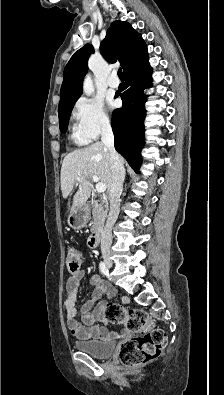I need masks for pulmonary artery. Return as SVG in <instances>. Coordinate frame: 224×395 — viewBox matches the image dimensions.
<instances>
[{"instance_id":"obj_1","label":"pulmonary artery","mask_w":224,"mask_h":395,"mask_svg":"<svg viewBox=\"0 0 224 395\" xmlns=\"http://www.w3.org/2000/svg\"><path fill=\"white\" fill-rule=\"evenodd\" d=\"M107 84L110 88H117L119 86V80L116 77L115 74H112L108 80H107Z\"/></svg>"}]
</instances>
